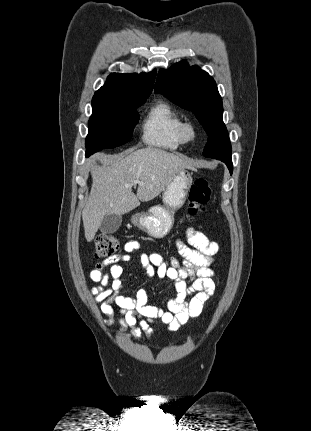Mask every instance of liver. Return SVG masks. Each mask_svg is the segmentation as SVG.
Segmentation results:
<instances>
[{
    "label": "liver",
    "instance_id": "6515ba94",
    "mask_svg": "<svg viewBox=\"0 0 311 431\" xmlns=\"http://www.w3.org/2000/svg\"><path fill=\"white\" fill-rule=\"evenodd\" d=\"M114 156L110 166H97L95 160H88L93 184L89 200L82 212L84 235L92 241L105 216H123L150 202L164 192L174 176L181 170H195L192 164L175 154L157 148L126 150ZM98 158V156H94ZM134 180L138 184L137 194L132 192Z\"/></svg>",
    "mask_w": 311,
    "mask_h": 431
}]
</instances>
